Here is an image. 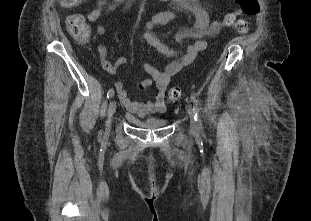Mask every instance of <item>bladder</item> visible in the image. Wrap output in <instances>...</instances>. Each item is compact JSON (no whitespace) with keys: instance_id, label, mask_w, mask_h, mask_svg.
<instances>
[{"instance_id":"bladder-1","label":"bladder","mask_w":311,"mask_h":221,"mask_svg":"<svg viewBox=\"0 0 311 221\" xmlns=\"http://www.w3.org/2000/svg\"><path fill=\"white\" fill-rule=\"evenodd\" d=\"M126 117H132L131 114H125ZM134 123L138 126L147 129V130H154V129H161L164 128L169 124V118H161L158 116H146L143 119H136L134 118Z\"/></svg>"}]
</instances>
